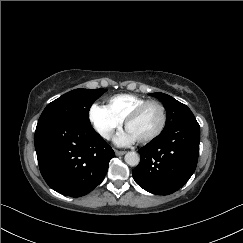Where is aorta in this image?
<instances>
[{
	"instance_id": "762f6f07",
	"label": "aorta",
	"mask_w": 243,
	"mask_h": 243,
	"mask_svg": "<svg viewBox=\"0 0 243 243\" xmlns=\"http://www.w3.org/2000/svg\"><path fill=\"white\" fill-rule=\"evenodd\" d=\"M125 162L129 165V166H137L140 162V157L139 155L134 152V151H130L128 153H126L125 155Z\"/></svg>"
}]
</instances>
